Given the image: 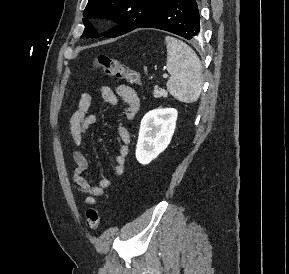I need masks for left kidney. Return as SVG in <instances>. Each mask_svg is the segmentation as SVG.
<instances>
[{"label":"left kidney","instance_id":"left-kidney-1","mask_svg":"<svg viewBox=\"0 0 289 274\" xmlns=\"http://www.w3.org/2000/svg\"><path fill=\"white\" fill-rule=\"evenodd\" d=\"M177 116L174 108L155 109L145 114L135 153L140 164H149L167 148L174 134Z\"/></svg>","mask_w":289,"mask_h":274}]
</instances>
